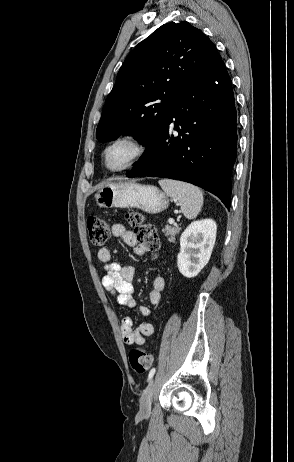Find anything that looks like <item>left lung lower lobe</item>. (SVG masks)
I'll use <instances>...</instances> for the list:
<instances>
[{
	"label": "left lung lower lobe",
	"mask_w": 294,
	"mask_h": 462,
	"mask_svg": "<svg viewBox=\"0 0 294 462\" xmlns=\"http://www.w3.org/2000/svg\"><path fill=\"white\" fill-rule=\"evenodd\" d=\"M236 118L231 79L221 60L181 93L160 135L146 146L150 154L126 175L192 183L216 195L229 210Z\"/></svg>",
	"instance_id": "obj_1"
}]
</instances>
